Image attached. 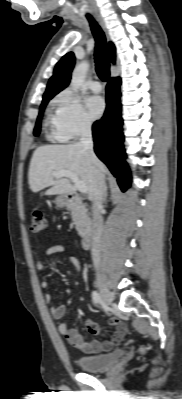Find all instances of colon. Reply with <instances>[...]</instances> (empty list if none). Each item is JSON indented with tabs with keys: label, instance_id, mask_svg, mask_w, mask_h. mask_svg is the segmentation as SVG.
<instances>
[{
	"label": "colon",
	"instance_id": "1",
	"mask_svg": "<svg viewBox=\"0 0 182 399\" xmlns=\"http://www.w3.org/2000/svg\"><path fill=\"white\" fill-rule=\"evenodd\" d=\"M47 228V221L41 212H34L31 217L30 231L35 235H40L45 232ZM148 346H142L140 352L147 353Z\"/></svg>",
	"mask_w": 182,
	"mask_h": 399
}]
</instances>
